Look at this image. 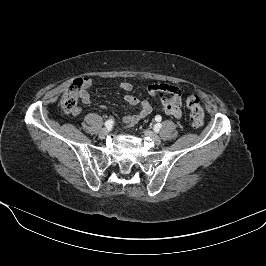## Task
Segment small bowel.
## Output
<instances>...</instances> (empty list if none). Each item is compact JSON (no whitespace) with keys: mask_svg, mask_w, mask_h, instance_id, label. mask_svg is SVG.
<instances>
[{"mask_svg":"<svg viewBox=\"0 0 266 266\" xmlns=\"http://www.w3.org/2000/svg\"><path fill=\"white\" fill-rule=\"evenodd\" d=\"M81 88L79 97L84 104L91 103L89 89L92 87V80L89 77L80 79ZM120 88L126 92H130L133 88L129 82H122ZM147 93L150 96H158L162 103V110L165 114L180 118L182 116V105L184 90L181 87L170 84H152L147 88ZM124 101L131 107L140 105V110L124 117L123 121L127 127H131L138 123L141 119L146 117L152 112L151 104L144 100L141 101L130 94L124 96ZM81 113V108H77L72 114L78 116Z\"/></svg>","mask_w":266,"mask_h":266,"instance_id":"1","label":"small bowel"}]
</instances>
